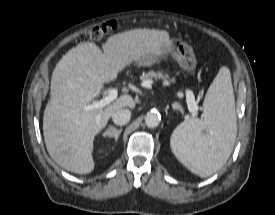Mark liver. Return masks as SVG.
Listing matches in <instances>:
<instances>
[{"label": "liver", "mask_w": 275, "mask_h": 215, "mask_svg": "<svg viewBox=\"0 0 275 215\" xmlns=\"http://www.w3.org/2000/svg\"><path fill=\"white\" fill-rule=\"evenodd\" d=\"M166 32L134 29L109 37L102 50L92 42L70 49L56 65L51 78L50 100L43 117V135L50 157L62 168L76 174L94 170L92 156L95 136L118 109L135 107L124 94L102 110L84 107L100 95L104 84L119 71L157 49Z\"/></svg>", "instance_id": "liver-1"}]
</instances>
